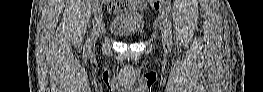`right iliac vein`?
<instances>
[{"label":"right iliac vein","mask_w":263,"mask_h":92,"mask_svg":"<svg viewBox=\"0 0 263 92\" xmlns=\"http://www.w3.org/2000/svg\"><path fill=\"white\" fill-rule=\"evenodd\" d=\"M95 19H96V28L94 32L92 33L91 38L89 39V48H92L95 45L99 33L102 32L104 28L103 25L101 24V19H102V9L101 8L99 10V14L95 15Z\"/></svg>","instance_id":"63e3f726"}]
</instances>
